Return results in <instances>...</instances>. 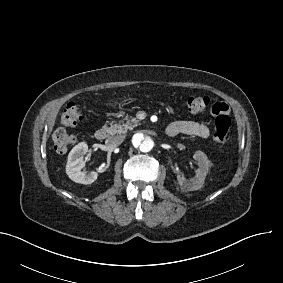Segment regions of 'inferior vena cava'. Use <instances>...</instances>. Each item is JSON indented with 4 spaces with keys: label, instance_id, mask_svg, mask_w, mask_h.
I'll return each mask as SVG.
<instances>
[{
    "label": "inferior vena cava",
    "instance_id": "inferior-vena-cava-1",
    "mask_svg": "<svg viewBox=\"0 0 283 283\" xmlns=\"http://www.w3.org/2000/svg\"><path fill=\"white\" fill-rule=\"evenodd\" d=\"M124 137L122 135H116L108 137L105 141L107 146L117 147L123 141Z\"/></svg>",
    "mask_w": 283,
    "mask_h": 283
}]
</instances>
